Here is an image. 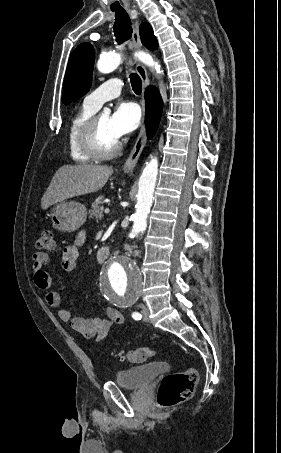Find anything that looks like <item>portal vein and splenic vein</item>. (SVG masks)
Masks as SVG:
<instances>
[{
	"label": "portal vein and splenic vein",
	"mask_w": 281,
	"mask_h": 453,
	"mask_svg": "<svg viewBox=\"0 0 281 453\" xmlns=\"http://www.w3.org/2000/svg\"><path fill=\"white\" fill-rule=\"evenodd\" d=\"M105 212H106V214H109L110 213V208H105Z\"/></svg>",
	"instance_id": "1"
}]
</instances>
